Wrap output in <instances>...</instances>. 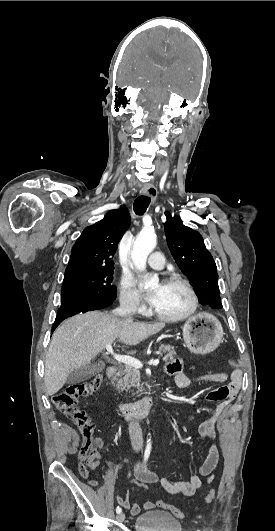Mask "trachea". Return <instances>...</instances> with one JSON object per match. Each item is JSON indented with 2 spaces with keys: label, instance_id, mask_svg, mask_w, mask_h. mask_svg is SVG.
<instances>
[{
  "label": "trachea",
  "instance_id": "3493384b",
  "mask_svg": "<svg viewBox=\"0 0 275 531\" xmlns=\"http://www.w3.org/2000/svg\"><path fill=\"white\" fill-rule=\"evenodd\" d=\"M151 200L148 196H139L135 199L133 207L136 214L141 216L147 210Z\"/></svg>",
  "mask_w": 275,
  "mask_h": 531
}]
</instances>
